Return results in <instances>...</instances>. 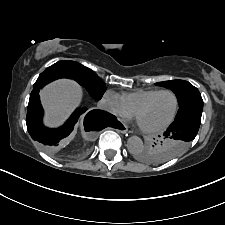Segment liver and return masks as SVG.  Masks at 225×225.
Wrapping results in <instances>:
<instances>
[{"instance_id": "1", "label": "liver", "mask_w": 225, "mask_h": 225, "mask_svg": "<svg viewBox=\"0 0 225 225\" xmlns=\"http://www.w3.org/2000/svg\"><path fill=\"white\" fill-rule=\"evenodd\" d=\"M40 98L46 110L45 123L49 126L60 124L81 102V87L69 79L57 80L47 85Z\"/></svg>"}]
</instances>
